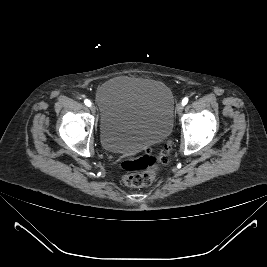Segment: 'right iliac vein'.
Returning a JSON list of instances; mask_svg holds the SVG:
<instances>
[{
	"label": "right iliac vein",
	"mask_w": 267,
	"mask_h": 267,
	"mask_svg": "<svg viewBox=\"0 0 267 267\" xmlns=\"http://www.w3.org/2000/svg\"><path fill=\"white\" fill-rule=\"evenodd\" d=\"M90 109H91L92 113H94V114L96 113V106L94 104H92L90 106Z\"/></svg>",
	"instance_id": "63e3f726"
}]
</instances>
